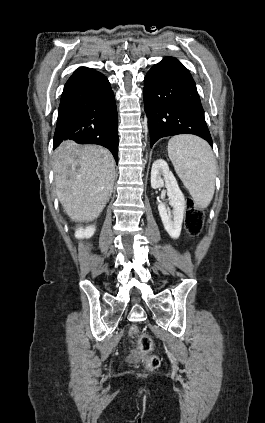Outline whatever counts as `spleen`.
<instances>
[{
	"mask_svg": "<svg viewBox=\"0 0 265 423\" xmlns=\"http://www.w3.org/2000/svg\"><path fill=\"white\" fill-rule=\"evenodd\" d=\"M168 156L193 201L206 208L215 191L216 162L209 144L192 135H178L168 142Z\"/></svg>",
	"mask_w": 265,
	"mask_h": 423,
	"instance_id": "1",
	"label": "spleen"
}]
</instances>
